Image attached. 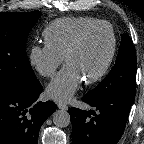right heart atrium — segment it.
Instances as JSON below:
<instances>
[{"instance_id":"obj_1","label":"right heart atrium","mask_w":144,"mask_h":144,"mask_svg":"<svg viewBox=\"0 0 144 144\" xmlns=\"http://www.w3.org/2000/svg\"><path fill=\"white\" fill-rule=\"evenodd\" d=\"M30 65L43 77H52L64 58L46 44L33 45L29 50Z\"/></svg>"}]
</instances>
